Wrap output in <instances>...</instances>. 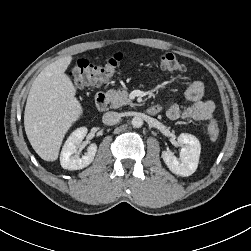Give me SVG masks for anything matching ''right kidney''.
Listing matches in <instances>:
<instances>
[{
    "mask_svg": "<svg viewBox=\"0 0 251 251\" xmlns=\"http://www.w3.org/2000/svg\"><path fill=\"white\" fill-rule=\"evenodd\" d=\"M86 134L87 128L81 127L72 132L66 140L60 155V163L64 169L79 170L93 162L97 152V145L95 143L88 146L87 152L81 158L76 154L77 145L82 142Z\"/></svg>",
    "mask_w": 251,
    "mask_h": 251,
    "instance_id": "right-kidney-1",
    "label": "right kidney"
}]
</instances>
